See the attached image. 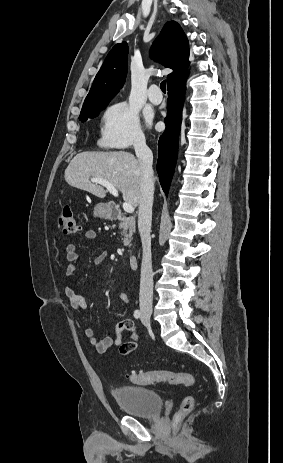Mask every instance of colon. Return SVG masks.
<instances>
[{"mask_svg": "<svg viewBox=\"0 0 283 463\" xmlns=\"http://www.w3.org/2000/svg\"><path fill=\"white\" fill-rule=\"evenodd\" d=\"M61 231L66 234H74L77 231V224L72 209L64 205L58 218ZM125 352V348L122 349ZM128 378L138 385H149L153 383H169L190 386L193 383V376L188 373H178L171 370H153L145 372L130 373ZM194 400L191 396L183 398L178 411L174 416V425L178 427L182 420L192 411Z\"/></svg>", "mask_w": 283, "mask_h": 463, "instance_id": "1", "label": "colon"}]
</instances>
